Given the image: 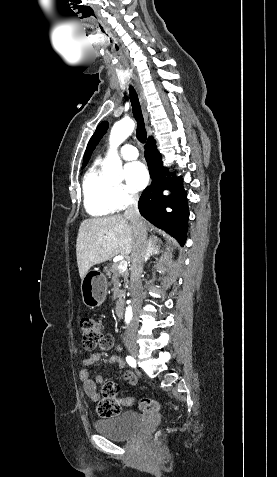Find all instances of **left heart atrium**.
I'll list each match as a JSON object with an SVG mask.
<instances>
[{
  "label": "left heart atrium",
  "mask_w": 277,
  "mask_h": 477,
  "mask_svg": "<svg viewBox=\"0 0 277 477\" xmlns=\"http://www.w3.org/2000/svg\"><path fill=\"white\" fill-rule=\"evenodd\" d=\"M128 187L132 191L142 190L148 183L149 175L145 165L141 162H131L124 167Z\"/></svg>",
  "instance_id": "39dd6f15"
}]
</instances>
